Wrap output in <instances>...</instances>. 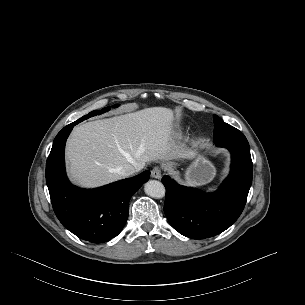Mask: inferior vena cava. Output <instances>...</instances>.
Returning a JSON list of instances; mask_svg holds the SVG:
<instances>
[{
    "instance_id": "inferior-vena-cava-1",
    "label": "inferior vena cava",
    "mask_w": 305,
    "mask_h": 305,
    "mask_svg": "<svg viewBox=\"0 0 305 305\" xmlns=\"http://www.w3.org/2000/svg\"><path fill=\"white\" fill-rule=\"evenodd\" d=\"M143 168L142 165H132L127 164L115 169V172L121 177H129L133 175L135 172L141 170Z\"/></svg>"
}]
</instances>
